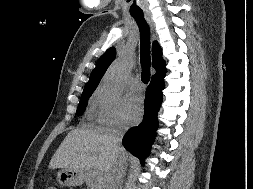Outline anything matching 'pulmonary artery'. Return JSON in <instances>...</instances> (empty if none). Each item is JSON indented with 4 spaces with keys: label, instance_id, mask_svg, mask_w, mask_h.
Masks as SVG:
<instances>
[{
    "label": "pulmonary artery",
    "instance_id": "1",
    "mask_svg": "<svg viewBox=\"0 0 253 189\" xmlns=\"http://www.w3.org/2000/svg\"><path fill=\"white\" fill-rule=\"evenodd\" d=\"M131 86L133 89H136V90L141 89V83L139 82V80L137 78L132 80Z\"/></svg>",
    "mask_w": 253,
    "mask_h": 189
}]
</instances>
